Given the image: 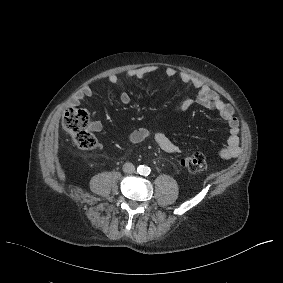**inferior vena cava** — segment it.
Returning <instances> with one entry per match:
<instances>
[{
	"label": "inferior vena cava",
	"mask_w": 283,
	"mask_h": 283,
	"mask_svg": "<svg viewBox=\"0 0 283 283\" xmlns=\"http://www.w3.org/2000/svg\"><path fill=\"white\" fill-rule=\"evenodd\" d=\"M123 171L126 173H134L135 172V166L132 163H125L123 165Z\"/></svg>",
	"instance_id": "inferior-vena-cava-1"
}]
</instances>
